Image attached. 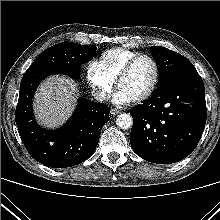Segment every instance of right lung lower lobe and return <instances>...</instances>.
Returning a JSON list of instances; mask_svg holds the SVG:
<instances>
[{
  "label": "right lung lower lobe",
  "instance_id": "1",
  "mask_svg": "<svg viewBox=\"0 0 220 220\" xmlns=\"http://www.w3.org/2000/svg\"><path fill=\"white\" fill-rule=\"evenodd\" d=\"M79 73L80 69H35L27 70L21 80L15 121L27 151L45 166L66 168L84 162L94 153L101 129L110 119L107 105L82 98L71 119L60 129L48 131L36 124L32 98L40 81L51 74L78 79Z\"/></svg>",
  "mask_w": 220,
  "mask_h": 220
}]
</instances>
